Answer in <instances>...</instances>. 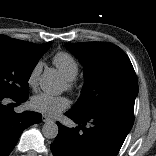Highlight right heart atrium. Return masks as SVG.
I'll use <instances>...</instances> for the list:
<instances>
[{
	"instance_id": "d8ad5b80",
	"label": "right heart atrium",
	"mask_w": 156,
	"mask_h": 156,
	"mask_svg": "<svg viewBox=\"0 0 156 156\" xmlns=\"http://www.w3.org/2000/svg\"><path fill=\"white\" fill-rule=\"evenodd\" d=\"M42 66L43 64L39 61L30 70L28 77H27V84L29 85V87L33 89L37 87L39 75L42 70Z\"/></svg>"
}]
</instances>
